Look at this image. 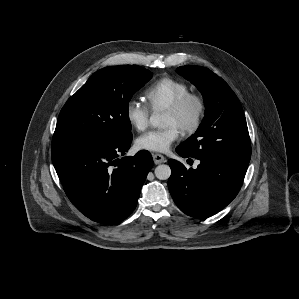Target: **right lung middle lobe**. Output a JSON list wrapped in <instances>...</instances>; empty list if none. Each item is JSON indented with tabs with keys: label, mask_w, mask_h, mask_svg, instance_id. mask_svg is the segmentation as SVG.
I'll use <instances>...</instances> for the list:
<instances>
[{
	"label": "right lung middle lobe",
	"mask_w": 299,
	"mask_h": 299,
	"mask_svg": "<svg viewBox=\"0 0 299 299\" xmlns=\"http://www.w3.org/2000/svg\"><path fill=\"white\" fill-rule=\"evenodd\" d=\"M152 76L137 65L95 72L63 106L53 138L105 141L131 136L129 101Z\"/></svg>",
	"instance_id": "obj_1"
}]
</instances>
